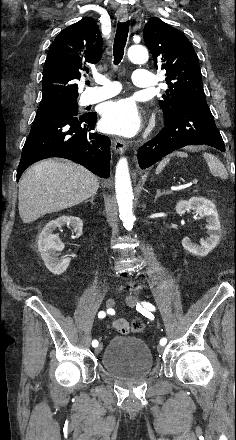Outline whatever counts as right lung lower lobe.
Masks as SVG:
<instances>
[{
  "label": "right lung lower lobe",
  "mask_w": 236,
  "mask_h": 440,
  "mask_svg": "<svg viewBox=\"0 0 236 440\" xmlns=\"http://www.w3.org/2000/svg\"><path fill=\"white\" fill-rule=\"evenodd\" d=\"M97 115L59 107L38 108L24 144L17 181L26 168L45 158L60 157L77 162L94 174L110 176V147L107 136L94 131Z\"/></svg>",
  "instance_id": "1"
}]
</instances>
